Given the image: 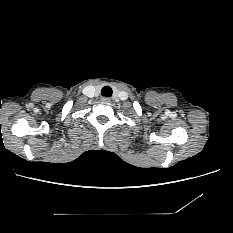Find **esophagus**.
Here are the masks:
<instances>
[{"instance_id":"1","label":"esophagus","mask_w":233,"mask_h":233,"mask_svg":"<svg viewBox=\"0 0 233 233\" xmlns=\"http://www.w3.org/2000/svg\"><path fill=\"white\" fill-rule=\"evenodd\" d=\"M101 100L103 102H110L111 101V99L109 97H102Z\"/></svg>"}]
</instances>
